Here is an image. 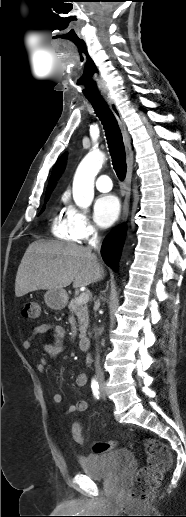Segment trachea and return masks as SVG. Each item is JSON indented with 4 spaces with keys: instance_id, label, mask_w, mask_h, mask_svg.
I'll use <instances>...</instances> for the list:
<instances>
[{
    "instance_id": "3493384b",
    "label": "trachea",
    "mask_w": 186,
    "mask_h": 517,
    "mask_svg": "<svg viewBox=\"0 0 186 517\" xmlns=\"http://www.w3.org/2000/svg\"><path fill=\"white\" fill-rule=\"evenodd\" d=\"M85 96L90 101L96 115L104 126L110 155L112 157L113 168L118 178L120 180H124L127 170L126 154L121 130L118 126L117 120L106 101L100 95Z\"/></svg>"
}]
</instances>
